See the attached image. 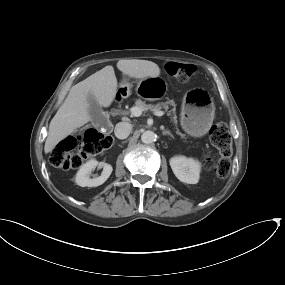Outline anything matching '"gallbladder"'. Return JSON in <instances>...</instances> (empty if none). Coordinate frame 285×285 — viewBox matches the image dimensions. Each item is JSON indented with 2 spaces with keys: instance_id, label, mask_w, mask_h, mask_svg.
I'll return each mask as SVG.
<instances>
[{
  "instance_id": "1",
  "label": "gallbladder",
  "mask_w": 285,
  "mask_h": 285,
  "mask_svg": "<svg viewBox=\"0 0 285 285\" xmlns=\"http://www.w3.org/2000/svg\"><path fill=\"white\" fill-rule=\"evenodd\" d=\"M88 103H89V114L93 122L107 126L108 125L107 117L105 116L101 106L99 105L95 97L91 94L88 97Z\"/></svg>"
}]
</instances>
